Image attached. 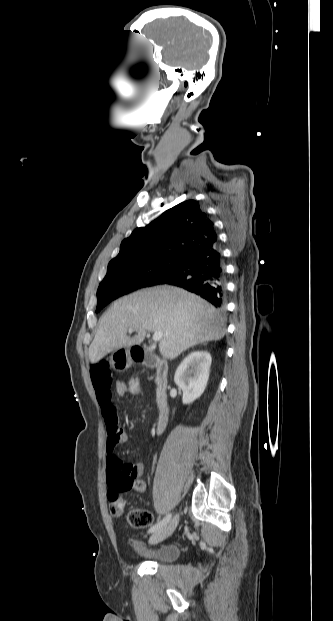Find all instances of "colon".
I'll return each instance as SVG.
<instances>
[{
	"label": "colon",
	"instance_id": "5ec220e1",
	"mask_svg": "<svg viewBox=\"0 0 333 621\" xmlns=\"http://www.w3.org/2000/svg\"><path fill=\"white\" fill-rule=\"evenodd\" d=\"M126 395L137 397L141 392V379L139 377H132L127 382H124ZM107 477L109 485L119 492L131 490L134 485L131 472L128 468L123 467L121 463L112 462L107 470ZM110 513L114 516L122 514L124 509L123 502L115 501L109 506ZM128 523L134 528H146L153 522L152 514L145 509H132L127 515Z\"/></svg>",
	"mask_w": 333,
	"mask_h": 621
}]
</instances>
